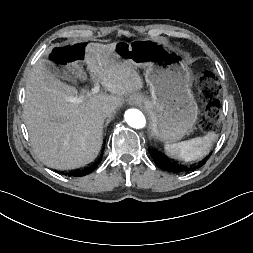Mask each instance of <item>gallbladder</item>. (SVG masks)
Instances as JSON below:
<instances>
[{"label": "gallbladder", "instance_id": "bac80fb5", "mask_svg": "<svg viewBox=\"0 0 253 253\" xmlns=\"http://www.w3.org/2000/svg\"><path fill=\"white\" fill-rule=\"evenodd\" d=\"M43 65L46 71H48L51 75L60 77L62 79H65L64 75L60 74L59 70L49 61H44L43 60Z\"/></svg>", "mask_w": 253, "mask_h": 253}]
</instances>
